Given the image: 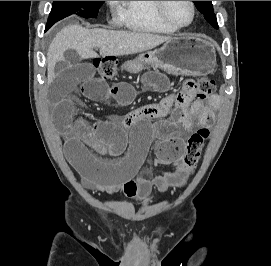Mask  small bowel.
I'll use <instances>...</instances> for the list:
<instances>
[{
  "label": "small bowel",
  "mask_w": 271,
  "mask_h": 266,
  "mask_svg": "<svg viewBox=\"0 0 271 266\" xmlns=\"http://www.w3.org/2000/svg\"><path fill=\"white\" fill-rule=\"evenodd\" d=\"M48 75L51 80L48 98L56 126L65 137L66 158L86 187L144 200L153 188L166 191L186 184V176L178 170L151 176L149 173L140 175L139 169L152 141H156L158 165L180 164L185 150L180 130L191 131L196 121L199 126H211L214 110L219 106L217 95L202 100L179 98L178 94L171 93L158 103L91 124L75 116L72 96L75 91L81 90L93 101L110 100L118 106H126L135 96L133 86L128 82L108 84L95 77L93 67L86 62H59L49 69ZM142 77L156 91L168 90V79L158 70L148 69ZM166 116L169 118L164 119ZM99 154L117 159L107 161Z\"/></svg>",
  "instance_id": "obj_1"
}]
</instances>
